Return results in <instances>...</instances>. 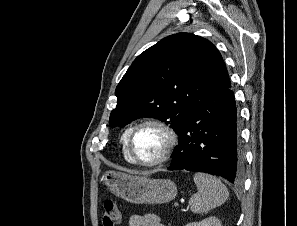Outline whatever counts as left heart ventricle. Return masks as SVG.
<instances>
[{
  "label": "left heart ventricle",
  "instance_id": "1",
  "mask_svg": "<svg viewBox=\"0 0 297 226\" xmlns=\"http://www.w3.org/2000/svg\"><path fill=\"white\" fill-rule=\"evenodd\" d=\"M166 143L165 134L155 126H144L138 129L133 138L135 155L143 161L156 159Z\"/></svg>",
  "mask_w": 297,
  "mask_h": 226
}]
</instances>
